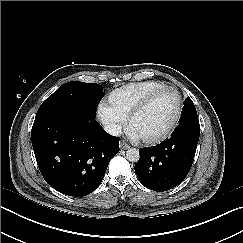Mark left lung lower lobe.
I'll use <instances>...</instances> for the list:
<instances>
[{
    "mask_svg": "<svg viewBox=\"0 0 243 243\" xmlns=\"http://www.w3.org/2000/svg\"><path fill=\"white\" fill-rule=\"evenodd\" d=\"M200 136L198 118L187 119L163 143L139 150L135 164L139 181L147 188L164 192L179 185L193 164Z\"/></svg>",
    "mask_w": 243,
    "mask_h": 243,
    "instance_id": "left-lung-lower-lobe-1",
    "label": "left lung lower lobe"
}]
</instances>
